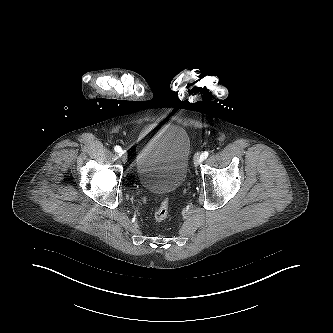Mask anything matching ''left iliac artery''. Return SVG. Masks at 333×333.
Listing matches in <instances>:
<instances>
[{"label": "left iliac artery", "mask_w": 333, "mask_h": 333, "mask_svg": "<svg viewBox=\"0 0 333 333\" xmlns=\"http://www.w3.org/2000/svg\"><path fill=\"white\" fill-rule=\"evenodd\" d=\"M209 155V152L208 151H205L203 152L201 155H200V160L203 161L205 160Z\"/></svg>", "instance_id": "left-iliac-artery-1"}]
</instances>
